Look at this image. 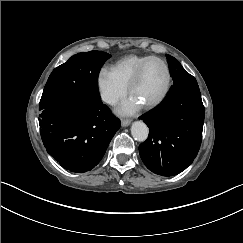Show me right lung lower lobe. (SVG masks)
<instances>
[{"mask_svg":"<svg viewBox=\"0 0 243 243\" xmlns=\"http://www.w3.org/2000/svg\"><path fill=\"white\" fill-rule=\"evenodd\" d=\"M39 125L47 152L66 170L83 173L100 162L120 120L101 98L69 95L41 110Z\"/></svg>","mask_w":243,"mask_h":243,"instance_id":"98d812e1","label":"right lung lower lobe"}]
</instances>
